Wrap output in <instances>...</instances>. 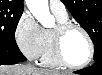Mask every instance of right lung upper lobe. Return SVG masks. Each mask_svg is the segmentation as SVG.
<instances>
[{
  "instance_id": "1",
  "label": "right lung upper lobe",
  "mask_w": 102,
  "mask_h": 75,
  "mask_svg": "<svg viewBox=\"0 0 102 75\" xmlns=\"http://www.w3.org/2000/svg\"><path fill=\"white\" fill-rule=\"evenodd\" d=\"M0 6L24 9L23 0H0Z\"/></svg>"
}]
</instances>
